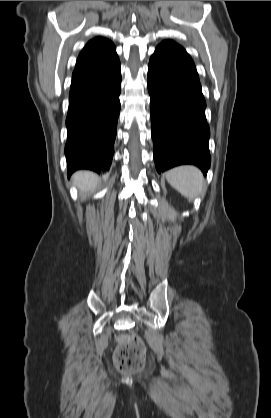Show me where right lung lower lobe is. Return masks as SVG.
I'll list each match as a JSON object with an SVG mask.
<instances>
[{
	"label": "right lung lower lobe",
	"instance_id": "obj_1",
	"mask_svg": "<svg viewBox=\"0 0 271 418\" xmlns=\"http://www.w3.org/2000/svg\"><path fill=\"white\" fill-rule=\"evenodd\" d=\"M119 59L70 88L65 154L68 174L78 169L108 170L120 109Z\"/></svg>",
	"mask_w": 271,
	"mask_h": 418
}]
</instances>
